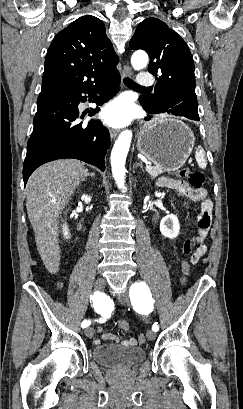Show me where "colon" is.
<instances>
[{"label":"colon","mask_w":243,"mask_h":409,"mask_svg":"<svg viewBox=\"0 0 243 409\" xmlns=\"http://www.w3.org/2000/svg\"><path fill=\"white\" fill-rule=\"evenodd\" d=\"M176 175L180 179L186 180L194 189H198V190L202 189V186L204 183V177L200 172H194L187 168H183V169L178 170ZM183 250H184L185 255H190L193 252V241L191 239H188L184 243ZM190 268H191V263L189 259H184L181 263V271L183 274L182 283L186 282L187 277L190 273ZM119 325L123 329L128 328V324L125 321H120ZM138 340L140 344H144L146 342V337L144 335H140Z\"/></svg>","instance_id":"obj_1"}]
</instances>
